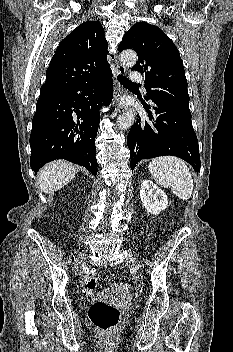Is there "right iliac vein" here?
I'll list each match as a JSON object with an SVG mask.
<instances>
[{
    "label": "right iliac vein",
    "mask_w": 233,
    "mask_h": 352,
    "mask_svg": "<svg viewBox=\"0 0 233 352\" xmlns=\"http://www.w3.org/2000/svg\"><path fill=\"white\" fill-rule=\"evenodd\" d=\"M84 263H85V254L81 253L76 258L75 268H76L77 274H79V275L81 274L82 267H83Z\"/></svg>",
    "instance_id": "63e3f726"
}]
</instances>
